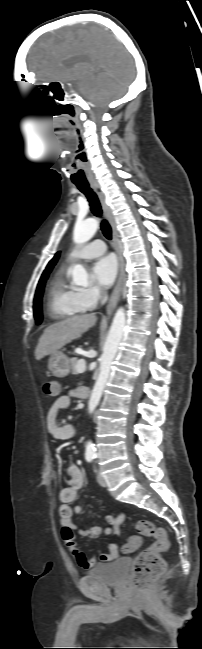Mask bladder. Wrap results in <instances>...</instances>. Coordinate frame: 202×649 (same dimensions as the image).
<instances>
[{
    "label": "bladder",
    "instance_id": "31cf9c89",
    "mask_svg": "<svg viewBox=\"0 0 202 649\" xmlns=\"http://www.w3.org/2000/svg\"><path fill=\"white\" fill-rule=\"evenodd\" d=\"M129 558L122 557L109 563H99L88 570V575L107 585H118L126 577Z\"/></svg>",
    "mask_w": 202,
    "mask_h": 649
}]
</instances>
